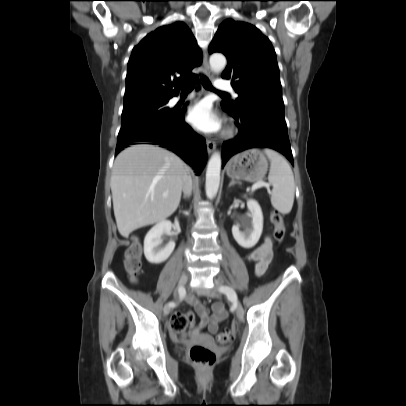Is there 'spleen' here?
Segmentation results:
<instances>
[{"instance_id":"spleen-1","label":"spleen","mask_w":406,"mask_h":406,"mask_svg":"<svg viewBox=\"0 0 406 406\" xmlns=\"http://www.w3.org/2000/svg\"><path fill=\"white\" fill-rule=\"evenodd\" d=\"M264 153L270 160L268 180L273 186L271 192L272 206L282 214H288L293 207L295 182L288 162L277 152L265 149Z\"/></svg>"}]
</instances>
